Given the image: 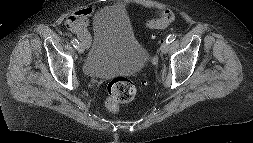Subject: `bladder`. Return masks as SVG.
I'll list each match as a JSON object with an SVG mask.
<instances>
[{
    "label": "bladder",
    "mask_w": 253,
    "mask_h": 143,
    "mask_svg": "<svg viewBox=\"0 0 253 143\" xmlns=\"http://www.w3.org/2000/svg\"><path fill=\"white\" fill-rule=\"evenodd\" d=\"M147 48L136 38L127 12L112 5L93 20V38L83 61L84 73L94 78L133 74L146 64Z\"/></svg>",
    "instance_id": "bladder-1"
}]
</instances>
